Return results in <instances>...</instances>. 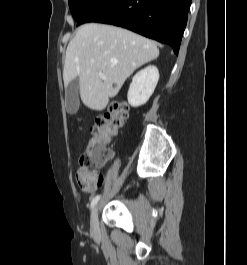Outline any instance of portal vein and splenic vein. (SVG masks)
Instances as JSON below:
<instances>
[{
  "mask_svg": "<svg viewBox=\"0 0 247 265\" xmlns=\"http://www.w3.org/2000/svg\"><path fill=\"white\" fill-rule=\"evenodd\" d=\"M92 62H94V61H92ZM99 77H100L101 79H103V80L106 79V76H105L102 72H99Z\"/></svg>",
  "mask_w": 247,
  "mask_h": 265,
  "instance_id": "obj_1",
  "label": "portal vein and splenic vein"
}]
</instances>
